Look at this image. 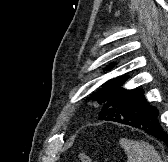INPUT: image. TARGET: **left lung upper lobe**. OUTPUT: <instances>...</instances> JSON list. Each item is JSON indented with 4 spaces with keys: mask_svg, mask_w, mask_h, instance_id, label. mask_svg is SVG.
<instances>
[{
    "mask_svg": "<svg viewBox=\"0 0 168 162\" xmlns=\"http://www.w3.org/2000/svg\"><path fill=\"white\" fill-rule=\"evenodd\" d=\"M107 68L106 70H108ZM128 76H123V77H117L114 78L105 84H103V88H100L97 93H93L91 95V99L93 101H96L99 105H101L102 109L101 112L99 113V119L102 116V112L104 110V107L106 106V103L108 101L109 96L116 91L126 80ZM90 99V98H87Z\"/></svg>",
    "mask_w": 168,
    "mask_h": 162,
    "instance_id": "obj_1",
    "label": "left lung upper lobe"
}]
</instances>
